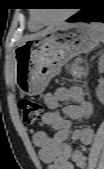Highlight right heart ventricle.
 <instances>
[{
	"instance_id": "e07e8e85",
	"label": "right heart ventricle",
	"mask_w": 104,
	"mask_h": 169,
	"mask_svg": "<svg viewBox=\"0 0 104 169\" xmlns=\"http://www.w3.org/2000/svg\"><path fill=\"white\" fill-rule=\"evenodd\" d=\"M40 27H41V24L39 22H37L36 19L33 16H31L30 22H29V28L31 30H37Z\"/></svg>"
}]
</instances>
